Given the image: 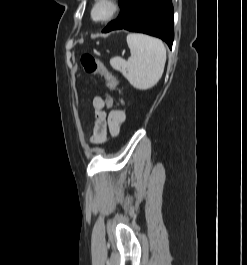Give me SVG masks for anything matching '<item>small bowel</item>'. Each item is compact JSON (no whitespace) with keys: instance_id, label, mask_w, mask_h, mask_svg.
Here are the masks:
<instances>
[{"instance_id":"small-bowel-1","label":"small bowel","mask_w":247,"mask_h":265,"mask_svg":"<svg viewBox=\"0 0 247 265\" xmlns=\"http://www.w3.org/2000/svg\"><path fill=\"white\" fill-rule=\"evenodd\" d=\"M121 103H123L122 100ZM92 108L96 118L91 141L95 144H101L107 140L108 134L117 136L126 120L125 111L116 109L107 114L104 99L100 96H95L92 99Z\"/></svg>"}]
</instances>
